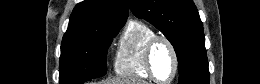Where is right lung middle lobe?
I'll return each instance as SVG.
<instances>
[{"mask_svg": "<svg viewBox=\"0 0 260 84\" xmlns=\"http://www.w3.org/2000/svg\"><path fill=\"white\" fill-rule=\"evenodd\" d=\"M123 25L104 24L87 39L62 41L59 83L82 84L105 75L108 47Z\"/></svg>", "mask_w": 260, "mask_h": 84, "instance_id": "obj_1", "label": "right lung middle lobe"}]
</instances>
